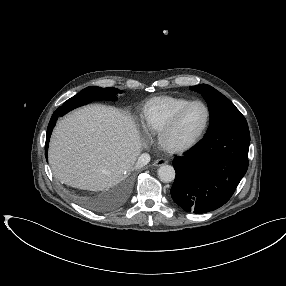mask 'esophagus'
I'll return each mask as SVG.
<instances>
[{
    "label": "esophagus",
    "mask_w": 286,
    "mask_h": 286,
    "mask_svg": "<svg viewBox=\"0 0 286 286\" xmlns=\"http://www.w3.org/2000/svg\"><path fill=\"white\" fill-rule=\"evenodd\" d=\"M167 163H168V161L165 160V159H158V160L154 161L153 165L156 166V167H159V166L165 165Z\"/></svg>",
    "instance_id": "1"
}]
</instances>
